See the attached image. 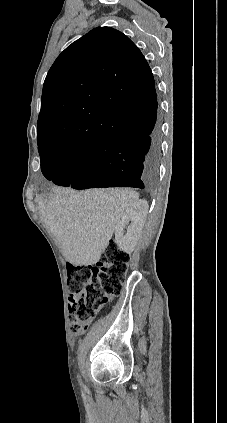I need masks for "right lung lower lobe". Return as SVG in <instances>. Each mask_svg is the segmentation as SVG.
<instances>
[{
  "instance_id": "right-lung-lower-lobe-1",
  "label": "right lung lower lobe",
  "mask_w": 227,
  "mask_h": 423,
  "mask_svg": "<svg viewBox=\"0 0 227 423\" xmlns=\"http://www.w3.org/2000/svg\"><path fill=\"white\" fill-rule=\"evenodd\" d=\"M156 91L145 100L106 108L107 116L124 119L129 127L99 140L74 161L41 164L45 178L74 189L155 186L160 161L161 128Z\"/></svg>"
}]
</instances>
